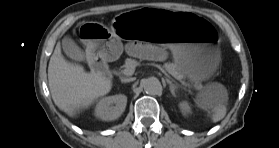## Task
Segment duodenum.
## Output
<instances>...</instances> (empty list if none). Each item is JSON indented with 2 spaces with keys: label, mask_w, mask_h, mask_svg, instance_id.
I'll use <instances>...</instances> for the list:
<instances>
[{
  "label": "duodenum",
  "mask_w": 279,
  "mask_h": 148,
  "mask_svg": "<svg viewBox=\"0 0 279 148\" xmlns=\"http://www.w3.org/2000/svg\"><path fill=\"white\" fill-rule=\"evenodd\" d=\"M90 66L95 72L109 74V67L101 57H93Z\"/></svg>",
  "instance_id": "1"
}]
</instances>
